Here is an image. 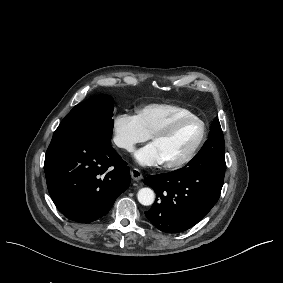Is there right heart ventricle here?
<instances>
[{"label": "right heart ventricle", "mask_w": 283, "mask_h": 283, "mask_svg": "<svg viewBox=\"0 0 283 283\" xmlns=\"http://www.w3.org/2000/svg\"><path fill=\"white\" fill-rule=\"evenodd\" d=\"M189 114L192 112L184 107L164 103L149 104L139 111L141 122L149 135L163 130L176 118Z\"/></svg>", "instance_id": "1"}]
</instances>
